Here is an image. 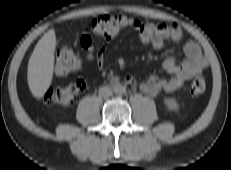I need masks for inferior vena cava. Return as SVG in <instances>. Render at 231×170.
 <instances>
[{
    "label": "inferior vena cava",
    "mask_w": 231,
    "mask_h": 170,
    "mask_svg": "<svg viewBox=\"0 0 231 170\" xmlns=\"http://www.w3.org/2000/svg\"><path fill=\"white\" fill-rule=\"evenodd\" d=\"M113 91L109 86H103L99 89V96L107 98L112 95Z\"/></svg>",
    "instance_id": "1"
}]
</instances>
